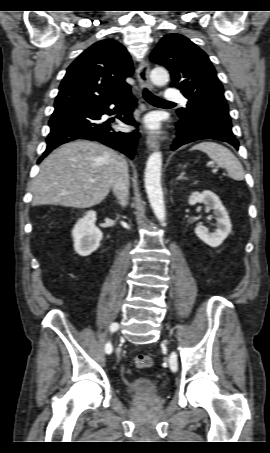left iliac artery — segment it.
Wrapping results in <instances>:
<instances>
[{"mask_svg": "<svg viewBox=\"0 0 270 453\" xmlns=\"http://www.w3.org/2000/svg\"><path fill=\"white\" fill-rule=\"evenodd\" d=\"M170 367H171V370L174 372L177 370V356L175 353H172V355H171Z\"/></svg>", "mask_w": 270, "mask_h": 453, "instance_id": "left-iliac-artery-1", "label": "left iliac artery"}]
</instances>
